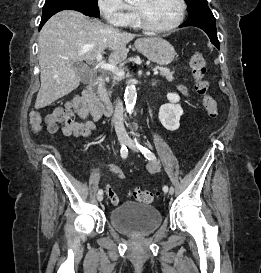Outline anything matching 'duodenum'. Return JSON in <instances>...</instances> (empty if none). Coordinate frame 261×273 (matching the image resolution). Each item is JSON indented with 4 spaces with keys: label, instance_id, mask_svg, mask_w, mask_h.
<instances>
[{
    "label": "duodenum",
    "instance_id": "duodenum-1",
    "mask_svg": "<svg viewBox=\"0 0 261 273\" xmlns=\"http://www.w3.org/2000/svg\"><path fill=\"white\" fill-rule=\"evenodd\" d=\"M104 82V75L95 78L83 91L82 98L89 106L106 116H110L113 112V106L110 99L103 92Z\"/></svg>",
    "mask_w": 261,
    "mask_h": 273
}]
</instances>
